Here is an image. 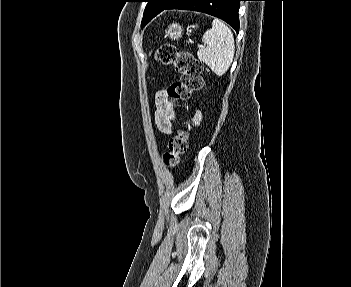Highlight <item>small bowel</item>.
Returning a JSON list of instances; mask_svg holds the SVG:
<instances>
[{
	"instance_id": "obj_1",
	"label": "small bowel",
	"mask_w": 351,
	"mask_h": 287,
	"mask_svg": "<svg viewBox=\"0 0 351 287\" xmlns=\"http://www.w3.org/2000/svg\"><path fill=\"white\" fill-rule=\"evenodd\" d=\"M156 102V112L154 115L155 123L161 133L169 135L172 132V120L175 116L173 108L168 104L166 98V92L160 90L155 95ZM201 119L199 113L195 114L193 120L195 123H198Z\"/></svg>"
}]
</instances>
